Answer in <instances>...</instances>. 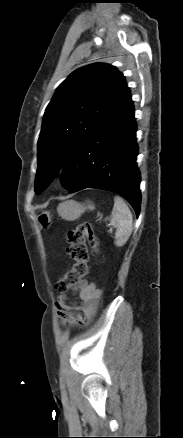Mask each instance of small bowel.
<instances>
[{
	"mask_svg": "<svg viewBox=\"0 0 183 438\" xmlns=\"http://www.w3.org/2000/svg\"><path fill=\"white\" fill-rule=\"evenodd\" d=\"M77 294L79 302H68L66 295H61L56 302L57 317L62 324L70 323L73 327L85 326L91 322L98 310L102 292L93 283L82 281L71 288Z\"/></svg>",
	"mask_w": 183,
	"mask_h": 438,
	"instance_id": "c3829d8e",
	"label": "small bowel"
}]
</instances>
